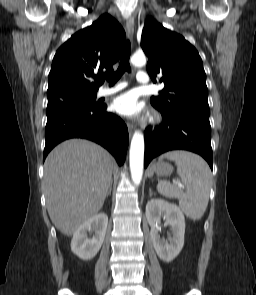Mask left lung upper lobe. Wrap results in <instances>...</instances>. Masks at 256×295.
Masks as SVG:
<instances>
[{
	"label": "left lung upper lobe",
	"mask_w": 256,
	"mask_h": 295,
	"mask_svg": "<svg viewBox=\"0 0 256 295\" xmlns=\"http://www.w3.org/2000/svg\"><path fill=\"white\" fill-rule=\"evenodd\" d=\"M141 47L149 58L148 74L165 84L151 104L164 116L183 110L209 115L206 74L197 50L153 18L145 22Z\"/></svg>",
	"instance_id": "left-lung-upper-lobe-1"
}]
</instances>
